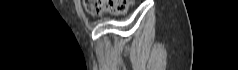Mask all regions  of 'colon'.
Here are the masks:
<instances>
[{"mask_svg": "<svg viewBox=\"0 0 238 70\" xmlns=\"http://www.w3.org/2000/svg\"><path fill=\"white\" fill-rule=\"evenodd\" d=\"M85 7L87 12L92 15L109 13L120 15L126 12L128 1L126 0H86Z\"/></svg>", "mask_w": 238, "mask_h": 70, "instance_id": "obj_1", "label": "colon"}]
</instances>
